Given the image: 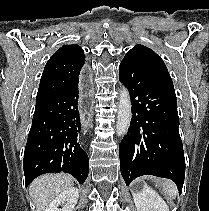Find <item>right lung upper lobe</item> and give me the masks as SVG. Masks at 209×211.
<instances>
[{"mask_svg": "<svg viewBox=\"0 0 209 211\" xmlns=\"http://www.w3.org/2000/svg\"><path fill=\"white\" fill-rule=\"evenodd\" d=\"M85 63L83 49L76 45L59 48L46 63L36 97V106L79 82Z\"/></svg>", "mask_w": 209, "mask_h": 211, "instance_id": "cb5924a9", "label": "right lung upper lobe"}]
</instances>
